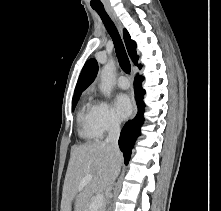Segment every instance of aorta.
<instances>
[{
	"instance_id": "aorta-1",
	"label": "aorta",
	"mask_w": 221,
	"mask_h": 211,
	"mask_svg": "<svg viewBox=\"0 0 221 211\" xmlns=\"http://www.w3.org/2000/svg\"><path fill=\"white\" fill-rule=\"evenodd\" d=\"M101 92L109 97L115 80V64L114 61L108 62L101 70Z\"/></svg>"
}]
</instances>
